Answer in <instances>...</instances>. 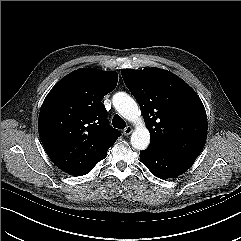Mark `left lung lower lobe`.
Masks as SVG:
<instances>
[{"mask_svg": "<svg viewBox=\"0 0 241 241\" xmlns=\"http://www.w3.org/2000/svg\"><path fill=\"white\" fill-rule=\"evenodd\" d=\"M140 159L154 176L163 179L181 175L196 160L195 158L173 155L151 145L147 150L140 152Z\"/></svg>", "mask_w": 241, "mask_h": 241, "instance_id": "left-lung-lower-lobe-1", "label": "left lung lower lobe"}]
</instances>
